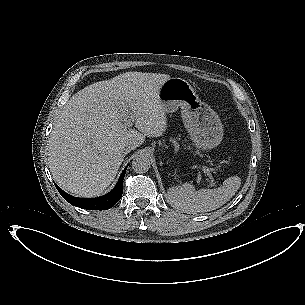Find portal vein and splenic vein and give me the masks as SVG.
I'll return each mask as SVG.
<instances>
[{
    "instance_id": "portal-vein-and-splenic-vein-1",
    "label": "portal vein and splenic vein",
    "mask_w": 305,
    "mask_h": 305,
    "mask_svg": "<svg viewBox=\"0 0 305 305\" xmlns=\"http://www.w3.org/2000/svg\"><path fill=\"white\" fill-rule=\"evenodd\" d=\"M125 122H127L128 126H132V124L130 122H128V118H125ZM207 175L210 179V185L216 186V182L214 181V178L212 177V175L209 172L207 173Z\"/></svg>"
}]
</instances>
